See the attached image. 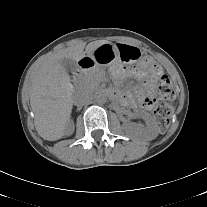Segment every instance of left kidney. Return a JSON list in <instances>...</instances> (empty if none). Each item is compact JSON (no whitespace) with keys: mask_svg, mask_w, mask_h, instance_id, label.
<instances>
[{"mask_svg":"<svg viewBox=\"0 0 207 207\" xmlns=\"http://www.w3.org/2000/svg\"><path fill=\"white\" fill-rule=\"evenodd\" d=\"M138 116L144 119L146 127L135 126L129 123L123 125L124 131L130 135L139 132L146 140H153L158 136V126L156 125L153 117L146 111L138 110Z\"/></svg>","mask_w":207,"mask_h":207,"instance_id":"1","label":"left kidney"}]
</instances>
